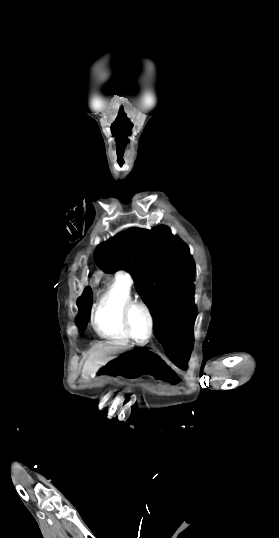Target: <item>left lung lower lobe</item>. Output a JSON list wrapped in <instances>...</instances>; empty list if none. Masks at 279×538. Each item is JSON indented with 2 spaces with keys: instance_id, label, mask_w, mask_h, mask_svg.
I'll return each instance as SVG.
<instances>
[{
  "instance_id": "1",
  "label": "left lung lower lobe",
  "mask_w": 279,
  "mask_h": 538,
  "mask_svg": "<svg viewBox=\"0 0 279 538\" xmlns=\"http://www.w3.org/2000/svg\"><path fill=\"white\" fill-rule=\"evenodd\" d=\"M159 342L163 345L165 353L179 368L186 369L187 361L192 350L189 339L192 332H154Z\"/></svg>"
}]
</instances>
